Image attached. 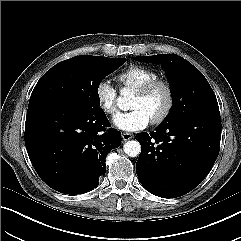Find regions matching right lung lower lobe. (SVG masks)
I'll list each match as a JSON object with an SVG mask.
<instances>
[{
	"label": "right lung lower lobe",
	"mask_w": 241,
	"mask_h": 241,
	"mask_svg": "<svg viewBox=\"0 0 241 241\" xmlns=\"http://www.w3.org/2000/svg\"><path fill=\"white\" fill-rule=\"evenodd\" d=\"M109 126L102 109L86 112L59 102L28 107L25 145L34 169L58 192L91 191L106 172L107 154L121 144V133Z\"/></svg>",
	"instance_id": "1"
}]
</instances>
